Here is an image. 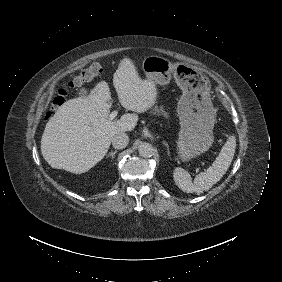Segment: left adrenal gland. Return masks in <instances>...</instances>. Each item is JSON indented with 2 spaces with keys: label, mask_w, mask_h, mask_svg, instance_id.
I'll use <instances>...</instances> for the list:
<instances>
[{
  "label": "left adrenal gland",
  "mask_w": 282,
  "mask_h": 282,
  "mask_svg": "<svg viewBox=\"0 0 282 282\" xmlns=\"http://www.w3.org/2000/svg\"><path fill=\"white\" fill-rule=\"evenodd\" d=\"M162 143L166 146V148H167V154H168V156H170V151H169V145H168V143H167L166 141H163Z\"/></svg>",
  "instance_id": "a2214340"
}]
</instances>
